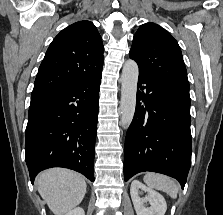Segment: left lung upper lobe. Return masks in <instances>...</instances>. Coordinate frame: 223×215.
Instances as JSON below:
<instances>
[{"label":"left lung upper lobe","instance_id":"1","mask_svg":"<svg viewBox=\"0 0 223 215\" xmlns=\"http://www.w3.org/2000/svg\"><path fill=\"white\" fill-rule=\"evenodd\" d=\"M130 58L137 62L139 75L189 95L181 49L177 41L159 25L145 23L139 27L133 38Z\"/></svg>","mask_w":223,"mask_h":215}]
</instances>
